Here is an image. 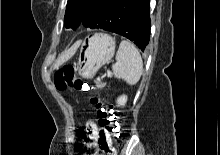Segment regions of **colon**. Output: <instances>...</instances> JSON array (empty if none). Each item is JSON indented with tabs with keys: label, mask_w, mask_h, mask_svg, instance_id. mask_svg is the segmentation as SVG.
<instances>
[{
	"label": "colon",
	"mask_w": 220,
	"mask_h": 155,
	"mask_svg": "<svg viewBox=\"0 0 220 155\" xmlns=\"http://www.w3.org/2000/svg\"><path fill=\"white\" fill-rule=\"evenodd\" d=\"M54 84L60 91L74 89L77 91L90 92V103L95 107L101 129L88 150L83 155H97L98 149L101 155H115V148L121 137L120 116L111 106L105 104L98 92L76 72L75 67L66 65L56 71ZM81 144H86V139H81Z\"/></svg>",
	"instance_id": "5ec220e1"
}]
</instances>
